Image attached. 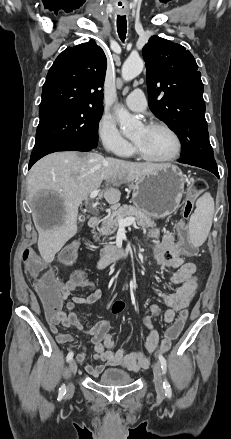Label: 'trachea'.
Here are the masks:
<instances>
[{
    "instance_id": "1",
    "label": "trachea",
    "mask_w": 231,
    "mask_h": 439,
    "mask_svg": "<svg viewBox=\"0 0 231 439\" xmlns=\"http://www.w3.org/2000/svg\"><path fill=\"white\" fill-rule=\"evenodd\" d=\"M127 21L126 16L117 17V31L122 41L126 38Z\"/></svg>"
}]
</instances>
